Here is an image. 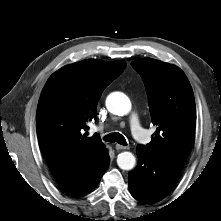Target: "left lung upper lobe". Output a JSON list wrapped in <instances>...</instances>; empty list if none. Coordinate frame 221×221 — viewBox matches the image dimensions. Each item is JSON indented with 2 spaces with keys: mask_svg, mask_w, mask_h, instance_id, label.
I'll return each instance as SVG.
<instances>
[{
  "mask_svg": "<svg viewBox=\"0 0 221 221\" xmlns=\"http://www.w3.org/2000/svg\"><path fill=\"white\" fill-rule=\"evenodd\" d=\"M131 65L144 81L151 119L157 126L151 142L138 146L182 168L192 149L196 124L192 87L177 66L152 58Z\"/></svg>",
  "mask_w": 221,
  "mask_h": 221,
  "instance_id": "1",
  "label": "left lung upper lobe"
}]
</instances>
